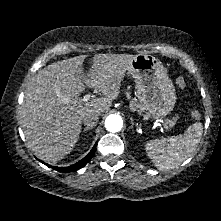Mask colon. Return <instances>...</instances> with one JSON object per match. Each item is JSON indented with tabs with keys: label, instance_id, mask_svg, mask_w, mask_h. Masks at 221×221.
<instances>
[{
	"label": "colon",
	"instance_id": "1",
	"mask_svg": "<svg viewBox=\"0 0 221 221\" xmlns=\"http://www.w3.org/2000/svg\"><path fill=\"white\" fill-rule=\"evenodd\" d=\"M176 84H177V86H178L179 88H184L185 85H186L185 80H184V78H182V77H178V78L176 79ZM191 116H192V118H194V119H199L200 116H201V113H200V111H198V110H196V109H193V110L191 111Z\"/></svg>",
	"mask_w": 221,
	"mask_h": 221
}]
</instances>
